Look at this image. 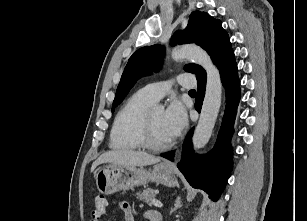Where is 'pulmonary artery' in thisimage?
Here are the masks:
<instances>
[{
    "label": "pulmonary artery",
    "instance_id": "e3ab8cb5",
    "mask_svg": "<svg viewBox=\"0 0 307 221\" xmlns=\"http://www.w3.org/2000/svg\"><path fill=\"white\" fill-rule=\"evenodd\" d=\"M178 83L184 88H192L195 85L192 74L182 73L177 76ZM172 82H155L144 86L141 92L153 102L159 101L170 92Z\"/></svg>",
    "mask_w": 307,
    "mask_h": 221
}]
</instances>
